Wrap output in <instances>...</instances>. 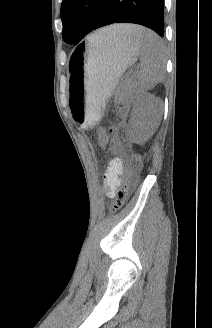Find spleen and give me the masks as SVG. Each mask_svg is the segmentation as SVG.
<instances>
[{
	"label": "spleen",
	"instance_id": "obj_1",
	"mask_svg": "<svg viewBox=\"0 0 212 328\" xmlns=\"http://www.w3.org/2000/svg\"><path fill=\"white\" fill-rule=\"evenodd\" d=\"M134 38L139 43L140 71L138 82L142 90L152 89L163 80L165 70V47L154 32L136 26ZM89 41L98 42L96 35H91Z\"/></svg>",
	"mask_w": 212,
	"mask_h": 328
}]
</instances>
